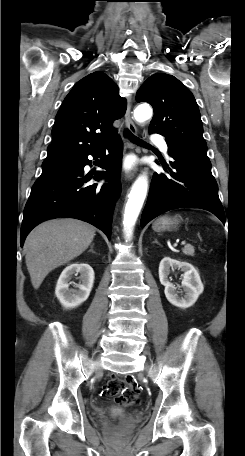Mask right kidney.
Here are the masks:
<instances>
[{
	"label": "right kidney",
	"instance_id": "1",
	"mask_svg": "<svg viewBox=\"0 0 245 456\" xmlns=\"http://www.w3.org/2000/svg\"><path fill=\"white\" fill-rule=\"evenodd\" d=\"M80 274V283L75 284L76 289L69 288L73 275ZM94 283V271L86 263H73L67 266L61 273L55 294L60 303L66 308L71 309L81 305L90 295Z\"/></svg>",
	"mask_w": 245,
	"mask_h": 456
}]
</instances>
